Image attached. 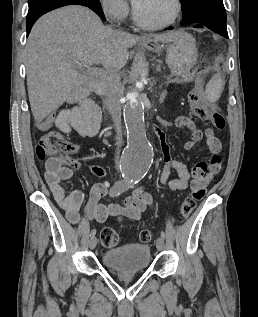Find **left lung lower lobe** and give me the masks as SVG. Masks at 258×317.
<instances>
[{
    "instance_id": "0a47b994",
    "label": "left lung lower lobe",
    "mask_w": 258,
    "mask_h": 317,
    "mask_svg": "<svg viewBox=\"0 0 258 317\" xmlns=\"http://www.w3.org/2000/svg\"><path fill=\"white\" fill-rule=\"evenodd\" d=\"M191 25L196 28L207 27L212 31L220 34L221 36L228 38L226 23L222 22L213 12H209L203 16L198 17Z\"/></svg>"
}]
</instances>
